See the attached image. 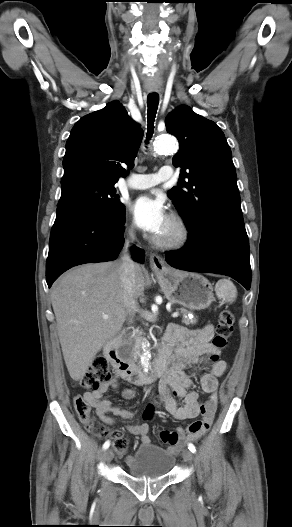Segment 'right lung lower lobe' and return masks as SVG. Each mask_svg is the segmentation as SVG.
<instances>
[{
    "label": "right lung lower lobe",
    "instance_id": "98d812e1",
    "mask_svg": "<svg viewBox=\"0 0 292 527\" xmlns=\"http://www.w3.org/2000/svg\"><path fill=\"white\" fill-rule=\"evenodd\" d=\"M124 223V216L112 221L84 208L57 210L46 263L48 287L73 266L116 259L124 245ZM133 258L143 263L144 251L135 247Z\"/></svg>",
    "mask_w": 292,
    "mask_h": 527
}]
</instances>
